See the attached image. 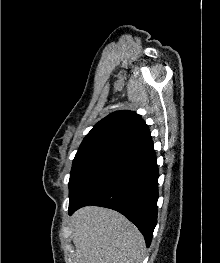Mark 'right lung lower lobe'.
I'll return each instance as SVG.
<instances>
[{"mask_svg":"<svg viewBox=\"0 0 220 263\" xmlns=\"http://www.w3.org/2000/svg\"><path fill=\"white\" fill-rule=\"evenodd\" d=\"M158 166L151 138L120 151L89 181L77 200L78 208L97 205L114 209L133 222L149 247L157 224Z\"/></svg>","mask_w":220,"mask_h":263,"instance_id":"obj_1","label":"right lung lower lobe"}]
</instances>
